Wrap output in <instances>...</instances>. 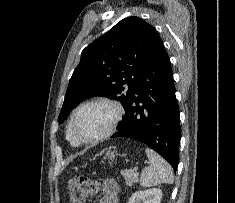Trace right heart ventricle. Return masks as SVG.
Masks as SVG:
<instances>
[{
  "mask_svg": "<svg viewBox=\"0 0 235 203\" xmlns=\"http://www.w3.org/2000/svg\"><path fill=\"white\" fill-rule=\"evenodd\" d=\"M66 137L68 139V141L70 142L71 145L73 146H79L81 143L76 139V137L74 136L72 130H71V119L68 123L67 126V132H66Z\"/></svg>",
  "mask_w": 235,
  "mask_h": 203,
  "instance_id": "1",
  "label": "right heart ventricle"
}]
</instances>
